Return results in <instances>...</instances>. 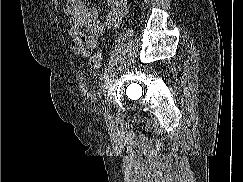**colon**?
<instances>
[{"mask_svg":"<svg viewBox=\"0 0 243 182\" xmlns=\"http://www.w3.org/2000/svg\"><path fill=\"white\" fill-rule=\"evenodd\" d=\"M102 62H103V51L99 49L91 56L90 66L93 69H98L101 67Z\"/></svg>","mask_w":243,"mask_h":182,"instance_id":"5ec220e1","label":"colon"}]
</instances>
